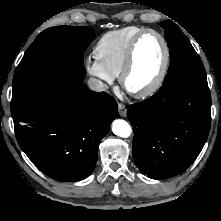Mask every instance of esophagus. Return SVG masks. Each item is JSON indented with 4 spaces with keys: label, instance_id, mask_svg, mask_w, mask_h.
Segmentation results:
<instances>
[{
    "label": "esophagus",
    "instance_id": "esophagus-1",
    "mask_svg": "<svg viewBox=\"0 0 221 221\" xmlns=\"http://www.w3.org/2000/svg\"><path fill=\"white\" fill-rule=\"evenodd\" d=\"M118 110H119V114L122 117H125L127 114V109L125 107V105H123L122 103H118Z\"/></svg>",
    "mask_w": 221,
    "mask_h": 221
}]
</instances>
